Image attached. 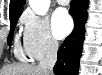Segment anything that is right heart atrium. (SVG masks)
I'll list each match as a JSON object with an SVG mask.
<instances>
[{
  "label": "right heart atrium",
  "mask_w": 102,
  "mask_h": 75,
  "mask_svg": "<svg viewBox=\"0 0 102 75\" xmlns=\"http://www.w3.org/2000/svg\"><path fill=\"white\" fill-rule=\"evenodd\" d=\"M21 25L24 49L32 60H40L56 51L58 43L51 35L49 23L45 18L26 12L22 15Z\"/></svg>",
  "instance_id": "1"
}]
</instances>
